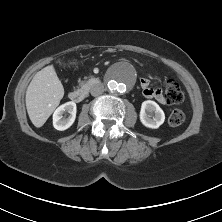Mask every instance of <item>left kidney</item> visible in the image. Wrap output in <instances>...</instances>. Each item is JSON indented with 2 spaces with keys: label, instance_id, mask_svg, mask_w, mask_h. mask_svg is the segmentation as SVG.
Masks as SVG:
<instances>
[{
  "label": "left kidney",
  "instance_id": "1",
  "mask_svg": "<svg viewBox=\"0 0 222 222\" xmlns=\"http://www.w3.org/2000/svg\"><path fill=\"white\" fill-rule=\"evenodd\" d=\"M153 114L154 116L152 117ZM164 120L165 114L155 101L147 100L142 103L140 121L144 126L156 129L164 123Z\"/></svg>",
  "mask_w": 222,
  "mask_h": 222
}]
</instances>
